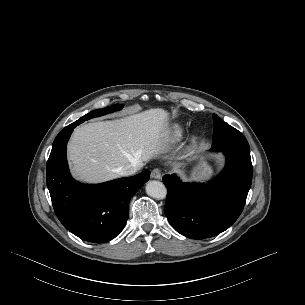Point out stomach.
I'll use <instances>...</instances> for the list:
<instances>
[{"label":"stomach","mask_w":305,"mask_h":305,"mask_svg":"<svg viewBox=\"0 0 305 305\" xmlns=\"http://www.w3.org/2000/svg\"><path fill=\"white\" fill-rule=\"evenodd\" d=\"M212 173L210 166L204 162L198 164L191 172L192 180H203L208 178Z\"/></svg>","instance_id":"stomach-1"}]
</instances>
